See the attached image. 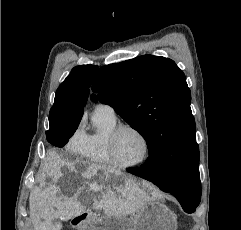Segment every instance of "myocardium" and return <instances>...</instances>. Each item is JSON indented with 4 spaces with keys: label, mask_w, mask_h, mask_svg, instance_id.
Here are the masks:
<instances>
[{
    "label": "myocardium",
    "mask_w": 241,
    "mask_h": 230,
    "mask_svg": "<svg viewBox=\"0 0 241 230\" xmlns=\"http://www.w3.org/2000/svg\"><path fill=\"white\" fill-rule=\"evenodd\" d=\"M124 130H131V131L135 132L142 139V141L144 143V154L138 161L131 162V163H125V162L119 161L116 156L117 139H118V136L120 135V133ZM107 151H108V155H109L112 163L115 166H118L121 168H133V167H137V166L143 164L147 160V158L149 157V154H150V143H149L146 135L136 126L128 124V123H119L108 134Z\"/></svg>",
    "instance_id": "myocardium-1"
}]
</instances>
